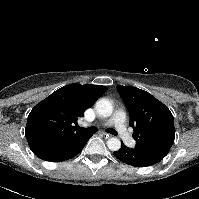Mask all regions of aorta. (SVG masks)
Segmentation results:
<instances>
[{
	"mask_svg": "<svg viewBox=\"0 0 199 199\" xmlns=\"http://www.w3.org/2000/svg\"><path fill=\"white\" fill-rule=\"evenodd\" d=\"M96 112L102 117H109L113 113V105L107 99H100L95 105ZM107 146L111 151H117L121 147V141L118 138H109Z\"/></svg>",
	"mask_w": 199,
	"mask_h": 199,
	"instance_id": "obj_1",
	"label": "aorta"
}]
</instances>
